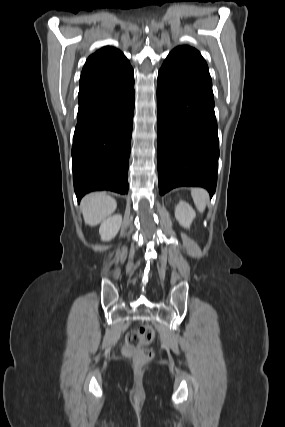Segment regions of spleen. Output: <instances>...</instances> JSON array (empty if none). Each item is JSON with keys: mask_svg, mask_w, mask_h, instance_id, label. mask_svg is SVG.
Segmentation results:
<instances>
[{"mask_svg": "<svg viewBox=\"0 0 285 427\" xmlns=\"http://www.w3.org/2000/svg\"><path fill=\"white\" fill-rule=\"evenodd\" d=\"M191 195L196 205V208L202 213L204 212L207 201H208V193L206 190L202 188H193L191 190Z\"/></svg>", "mask_w": 285, "mask_h": 427, "instance_id": "3e777b00", "label": "spleen"}]
</instances>
